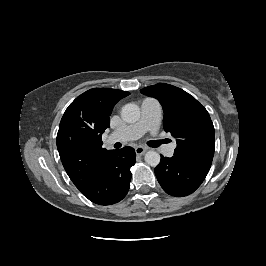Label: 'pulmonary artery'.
<instances>
[{
	"mask_svg": "<svg viewBox=\"0 0 266 266\" xmlns=\"http://www.w3.org/2000/svg\"><path fill=\"white\" fill-rule=\"evenodd\" d=\"M162 108L160 103L153 98H146L141 104V116L139 120L133 124L127 125L121 130H116L110 133V142H126L135 140L141 137L145 132L151 131L155 133L161 123ZM176 147L175 142L164 145L162 152L170 157L174 153Z\"/></svg>",
	"mask_w": 266,
	"mask_h": 266,
	"instance_id": "pulmonary-artery-1",
	"label": "pulmonary artery"
}]
</instances>
